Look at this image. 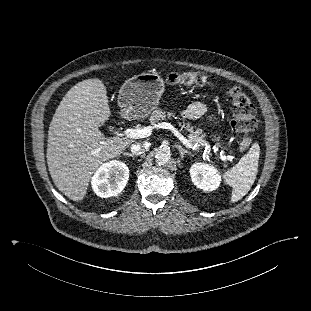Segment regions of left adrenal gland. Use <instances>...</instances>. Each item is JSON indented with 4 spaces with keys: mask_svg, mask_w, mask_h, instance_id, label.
Masks as SVG:
<instances>
[{
    "mask_svg": "<svg viewBox=\"0 0 311 311\" xmlns=\"http://www.w3.org/2000/svg\"><path fill=\"white\" fill-rule=\"evenodd\" d=\"M176 148L179 150L180 156L182 159H184L185 155L193 156V154L185 149L182 148L180 145H176Z\"/></svg>",
    "mask_w": 311,
    "mask_h": 311,
    "instance_id": "obj_1",
    "label": "left adrenal gland"
}]
</instances>
